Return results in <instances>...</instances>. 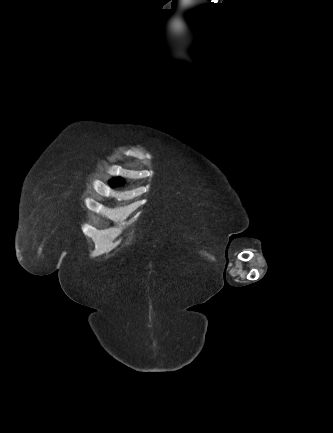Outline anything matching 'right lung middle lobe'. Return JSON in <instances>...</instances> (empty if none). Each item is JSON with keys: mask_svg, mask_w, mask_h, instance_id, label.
<instances>
[{"mask_svg": "<svg viewBox=\"0 0 333 433\" xmlns=\"http://www.w3.org/2000/svg\"><path fill=\"white\" fill-rule=\"evenodd\" d=\"M123 184H124V181L122 178H116V179L111 181V186H113V187L123 185Z\"/></svg>", "mask_w": 333, "mask_h": 433, "instance_id": "right-lung-middle-lobe-1", "label": "right lung middle lobe"}]
</instances>
